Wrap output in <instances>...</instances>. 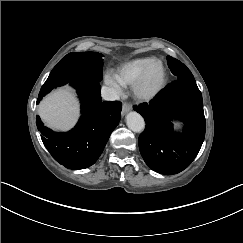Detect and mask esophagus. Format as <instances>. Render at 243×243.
<instances>
[{
    "label": "esophagus",
    "instance_id": "34e87169",
    "mask_svg": "<svg viewBox=\"0 0 243 243\" xmlns=\"http://www.w3.org/2000/svg\"><path fill=\"white\" fill-rule=\"evenodd\" d=\"M132 109V105L127 103V102H124L123 103V107H122V115H125L127 112H129L130 110Z\"/></svg>",
    "mask_w": 243,
    "mask_h": 243
}]
</instances>
